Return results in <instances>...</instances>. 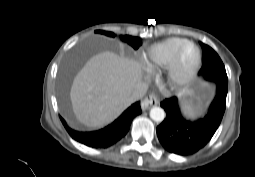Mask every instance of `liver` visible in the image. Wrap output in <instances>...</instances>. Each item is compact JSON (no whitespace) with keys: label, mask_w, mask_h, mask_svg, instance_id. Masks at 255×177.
Here are the masks:
<instances>
[{"label":"liver","mask_w":255,"mask_h":177,"mask_svg":"<svg viewBox=\"0 0 255 177\" xmlns=\"http://www.w3.org/2000/svg\"><path fill=\"white\" fill-rule=\"evenodd\" d=\"M142 78L137 61L104 51L90 58L75 76L70 99L77 119L91 128L116 119L130 104L127 98Z\"/></svg>","instance_id":"liver-1"}]
</instances>
